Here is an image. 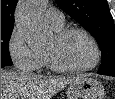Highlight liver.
Returning <instances> with one entry per match:
<instances>
[{
	"label": "liver",
	"instance_id": "obj_1",
	"mask_svg": "<svg viewBox=\"0 0 115 99\" xmlns=\"http://www.w3.org/2000/svg\"><path fill=\"white\" fill-rule=\"evenodd\" d=\"M80 77H44L1 70V99H51Z\"/></svg>",
	"mask_w": 115,
	"mask_h": 99
}]
</instances>
